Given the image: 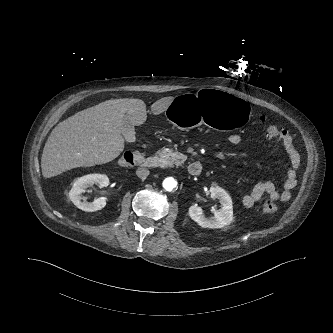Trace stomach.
<instances>
[{
    "label": "stomach",
    "mask_w": 333,
    "mask_h": 333,
    "mask_svg": "<svg viewBox=\"0 0 333 333\" xmlns=\"http://www.w3.org/2000/svg\"><path fill=\"white\" fill-rule=\"evenodd\" d=\"M167 116L176 127L186 129L199 120L217 131L239 130L251 118V108L243 97L208 88L197 94H183L173 98Z\"/></svg>",
    "instance_id": "obj_1"
}]
</instances>
